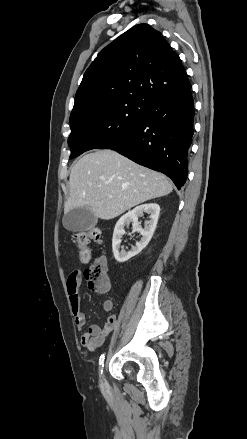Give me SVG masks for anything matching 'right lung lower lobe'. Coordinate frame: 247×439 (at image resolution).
<instances>
[{
    "label": "right lung lower lobe",
    "instance_id": "98d812e1",
    "mask_svg": "<svg viewBox=\"0 0 247 439\" xmlns=\"http://www.w3.org/2000/svg\"><path fill=\"white\" fill-rule=\"evenodd\" d=\"M193 116L191 87L163 96L148 105L142 120L107 149L166 174L180 188L187 177Z\"/></svg>",
    "mask_w": 247,
    "mask_h": 439
}]
</instances>
